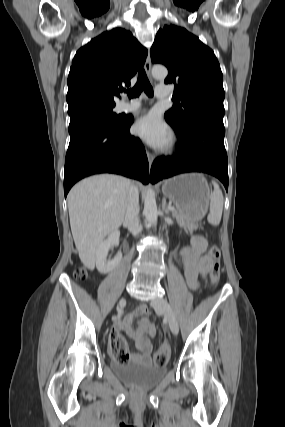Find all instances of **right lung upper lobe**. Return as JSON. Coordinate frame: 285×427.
I'll return each instance as SVG.
<instances>
[{"mask_svg":"<svg viewBox=\"0 0 285 427\" xmlns=\"http://www.w3.org/2000/svg\"><path fill=\"white\" fill-rule=\"evenodd\" d=\"M147 56L145 49L130 31L114 28L92 39L80 48L68 76V113L89 106L115 105L122 84L141 68Z\"/></svg>","mask_w":285,"mask_h":427,"instance_id":"obj_1","label":"right lung upper lobe"}]
</instances>
